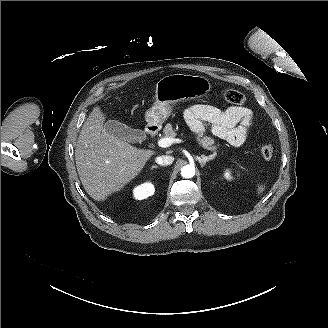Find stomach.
Instances as JSON below:
<instances>
[{"mask_svg":"<svg viewBox=\"0 0 328 328\" xmlns=\"http://www.w3.org/2000/svg\"><path fill=\"white\" fill-rule=\"evenodd\" d=\"M212 91L210 80L204 76L172 74L161 78L155 89V101L145 112L147 129L159 130L177 105L208 95Z\"/></svg>","mask_w":328,"mask_h":328,"instance_id":"0dacf381","label":"stomach"}]
</instances>
